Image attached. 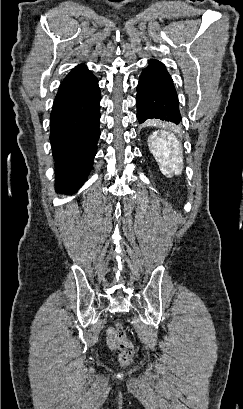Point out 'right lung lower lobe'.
<instances>
[{"mask_svg":"<svg viewBox=\"0 0 243 409\" xmlns=\"http://www.w3.org/2000/svg\"><path fill=\"white\" fill-rule=\"evenodd\" d=\"M98 80L86 67L63 80L50 115L57 191L76 192L92 169L100 136Z\"/></svg>","mask_w":243,"mask_h":409,"instance_id":"98d812e1","label":"right lung lower lobe"}]
</instances>
